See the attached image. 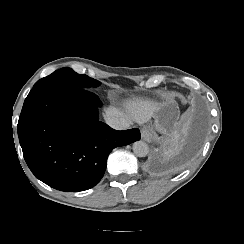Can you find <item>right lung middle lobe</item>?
Wrapping results in <instances>:
<instances>
[{
  "instance_id": "right-lung-middle-lobe-1",
  "label": "right lung middle lobe",
  "mask_w": 244,
  "mask_h": 244,
  "mask_svg": "<svg viewBox=\"0 0 244 244\" xmlns=\"http://www.w3.org/2000/svg\"><path fill=\"white\" fill-rule=\"evenodd\" d=\"M101 83L87 75L76 73L71 68H61L56 70L51 75L38 80L33 88H39L46 85H68L82 89L97 87Z\"/></svg>"
}]
</instances>
